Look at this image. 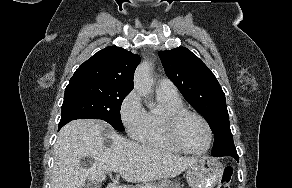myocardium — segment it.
Here are the masks:
<instances>
[{"label": "myocardium", "instance_id": "f54148a6", "mask_svg": "<svg viewBox=\"0 0 292 188\" xmlns=\"http://www.w3.org/2000/svg\"><path fill=\"white\" fill-rule=\"evenodd\" d=\"M188 116H194L198 118L204 124L207 134H208V144L205 149L200 151H195L187 148L180 139L179 136V127L181 122ZM163 124L166 131V134L170 141L182 152L193 154V155H203L207 153L213 144V131L211 125L209 124L208 120L200 113L189 110L186 108L173 110L167 112L163 118Z\"/></svg>", "mask_w": 292, "mask_h": 188}]
</instances>
